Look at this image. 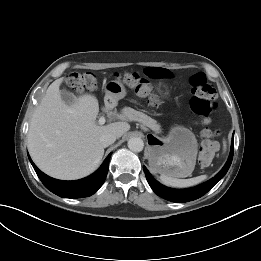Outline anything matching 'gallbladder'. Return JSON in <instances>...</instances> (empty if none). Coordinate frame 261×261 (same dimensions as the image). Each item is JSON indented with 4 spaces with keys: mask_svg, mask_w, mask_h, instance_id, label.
I'll return each instance as SVG.
<instances>
[{
    "mask_svg": "<svg viewBox=\"0 0 261 261\" xmlns=\"http://www.w3.org/2000/svg\"><path fill=\"white\" fill-rule=\"evenodd\" d=\"M62 100L67 104V105H72L74 103V97L67 92L66 90H64L62 92Z\"/></svg>",
    "mask_w": 261,
    "mask_h": 261,
    "instance_id": "1",
    "label": "gallbladder"
}]
</instances>
